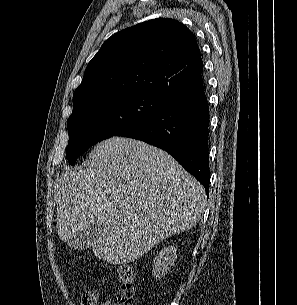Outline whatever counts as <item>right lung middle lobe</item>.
I'll return each mask as SVG.
<instances>
[{
    "label": "right lung middle lobe",
    "mask_w": 297,
    "mask_h": 305,
    "mask_svg": "<svg viewBox=\"0 0 297 305\" xmlns=\"http://www.w3.org/2000/svg\"><path fill=\"white\" fill-rule=\"evenodd\" d=\"M168 99L148 93L109 96L73 110L67 121L66 156L71 165L96 142L110 138L144 121Z\"/></svg>",
    "instance_id": "1"
}]
</instances>
